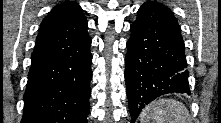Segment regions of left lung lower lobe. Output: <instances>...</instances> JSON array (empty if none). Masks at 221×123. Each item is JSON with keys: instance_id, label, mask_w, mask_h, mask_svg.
Returning <instances> with one entry per match:
<instances>
[{"instance_id": "1", "label": "left lung lower lobe", "mask_w": 221, "mask_h": 123, "mask_svg": "<svg viewBox=\"0 0 221 123\" xmlns=\"http://www.w3.org/2000/svg\"><path fill=\"white\" fill-rule=\"evenodd\" d=\"M125 80L132 123L146 104L168 93L190 94L180 26L173 12L145 2L130 26Z\"/></svg>"}]
</instances>
